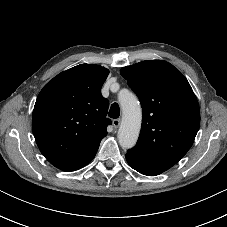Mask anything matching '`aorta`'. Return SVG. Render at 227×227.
Wrapping results in <instances>:
<instances>
[{
  "label": "aorta",
  "instance_id": "1",
  "mask_svg": "<svg viewBox=\"0 0 227 227\" xmlns=\"http://www.w3.org/2000/svg\"><path fill=\"white\" fill-rule=\"evenodd\" d=\"M122 122L118 130V141L121 147L132 148L139 137L142 121V110L138 99L131 92L120 94Z\"/></svg>",
  "mask_w": 227,
  "mask_h": 227
}]
</instances>
